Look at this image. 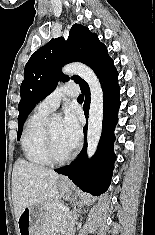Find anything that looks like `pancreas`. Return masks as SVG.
I'll use <instances>...</instances> for the list:
<instances>
[{
    "label": "pancreas",
    "mask_w": 155,
    "mask_h": 235,
    "mask_svg": "<svg viewBox=\"0 0 155 235\" xmlns=\"http://www.w3.org/2000/svg\"><path fill=\"white\" fill-rule=\"evenodd\" d=\"M60 204L61 203L58 199H52L50 202L44 203L46 214L49 216H59L62 213V211L58 208V205Z\"/></svg>",
    "instance_id": "1"
}]
</instances>
